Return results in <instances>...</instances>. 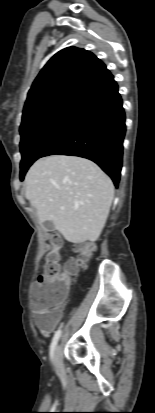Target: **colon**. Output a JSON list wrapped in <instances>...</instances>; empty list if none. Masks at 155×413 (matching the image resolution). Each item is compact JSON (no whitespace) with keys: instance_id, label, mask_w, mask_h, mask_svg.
<instances>
[{"instance_id":"colon-1","label":"colon","mask_w":155,"mask_h":413,"mask_svg":"<svg viewBox=\"0 0 155 413\" xmlns=\"http://www.w3.org/2000/svg\"><path fill=\"white\" fill-rule=\"evenodd\" d=\"M49 243L53 250L47 254L46 262L43 266L42 284L44 285V290L37 296L34 303V309L39 312H51L57 309L58 304L70 290L71 278L78 273L80 268L86 266L88 259L94 251L93 243L80 244L77 248L78 256L70 258L62 269L59 264L60 256L58 253L61 240L57 235H53Z\"/></svg>"}]
</instances>
